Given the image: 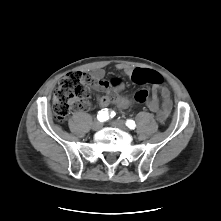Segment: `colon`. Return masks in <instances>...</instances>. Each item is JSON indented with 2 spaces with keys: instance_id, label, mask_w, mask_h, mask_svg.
<instances>
[{
  "instance_id": "colon-1",
  "label": "colon",
  "mask_w": 221,
  "mask_h": 221,
  "mask_svg": "<svg viewBox=\"0 0 221 221\" xmlns=\"http://www.w3.org/2000/svg\"><path fill=\"white\" fill-rule=\"evenodd\" d=\"M133 81L145 79L153 85L163 83V77L160 73L154 70L136 69L132 73ZM91 93V87L86 78L79 72H71L65 75L54 94L53 110L55 118L62 122L69 115L72 108L86 99ZM149 90L147 88L138 89L135 92V100L143 103L148 99ZM83 106H86L83 104Z\"/></svg>"
}]
</instances>
